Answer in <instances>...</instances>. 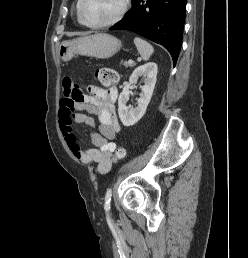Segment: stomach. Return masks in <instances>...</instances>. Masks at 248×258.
<instances>
[{"label":"stomach","instance_id":"1","mask_svg":"<svg viewBox=\"0 0 248 258\" xmlns=\"http://www.w3.org/2000/svg\"><path fill=\"white\" fill-rule=\"evenodd\" d=\"M121 47L122 43L116 37L106 33H97L62 42L58 53L65 62L70 61L75 55L107 59L116 54Z\"/></svg>","mask_w":248,"mask_h":258}]
</instances>
